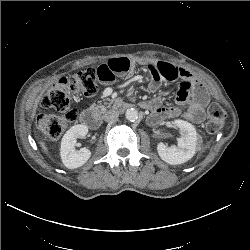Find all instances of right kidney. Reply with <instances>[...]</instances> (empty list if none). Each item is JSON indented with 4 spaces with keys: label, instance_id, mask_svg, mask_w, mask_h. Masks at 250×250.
Segmentation results:
<instances>
[{
    "label": "right kidney",
    "instance_id": "right-kidney-1",
    "mask_svg": "<svg viewBox=\"0 0 250 250\" xmlns=\"http://www.w3.org/2000/svg\"><path fill=\"white\" fill-rule=\"evenodd\" d=\"M88 127L83 124L72 126L63 136L60 155L63 164L69 169L83 166L91 157V151L87 148L76 150V142L80 137L86 136Z\"/></svg>",
    "mask_w": 250,
    "mask_h": 250
}]
</instances>
